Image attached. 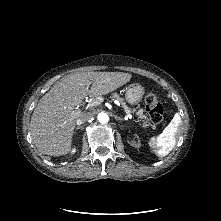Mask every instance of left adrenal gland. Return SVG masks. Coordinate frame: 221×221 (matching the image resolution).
<instances>
[{
    "label": "left adrenal gland",
    "instance_id": "left-adrenal-gland-1",
    "mask_svg": "<svg viewBox=\"0 0 221 221\" xmlns=\"http://www.w3.org/2000/svg\"><path fill=\"white\" fill-rule=\"evenodd\" d=\"M117 120H119V121H123L124 119H122V118L118 117V118H117Z\"/></svg>",
    "mask_w": 221,
    "mask_h": 221
}]
</instances>
